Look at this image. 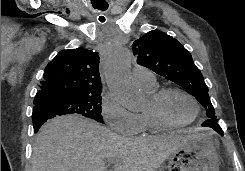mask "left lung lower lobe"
Here are the masks:
<instances>
[{
  "label": "left lung lower lobe",
  "instance_id": "1",
  "mask_svg": "<svg viewBox=\"0 0 245 171\" xmlns=\"http://www.w3.org/2000/svg\"><path fill=\"white\" fill-rule=\"evenodd\" d=\"M201 126L210 127L213 130H215L217 133L223 134V130L221 129V127L218 125L216 121L212 122L210 120H206L205 122L201 124Z\"/></svg>",
  "mask_w": 245,
  "mask_h": 171
}]
</instances>
